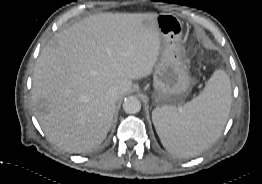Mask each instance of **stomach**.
<instances>
[{
  "instance_id": "stomach-1",
  "label": "stomach",
  "mask_w": 262,
  "mask_h": 184,
  "mask_svg": "<svg viewBox=\"0 0 262 184\" xmlns=\"http://www.w3.org/2000/svg\"><path fill=\"white\" fill-rule=\"evenodd\" d=\"M156 24L162 48L153 73L154 98L158 103L178 102L193 85L181 47L183 23L175 15L159 14Z\"/></svg>"
}]
</instances>
